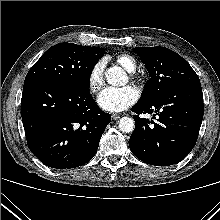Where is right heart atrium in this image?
<instances>
[{"label": "right heart atrium", "instance_id": "d8ad5b80", "mask_svg": "<svg viewBox=\"0 0 220 220\" xmlns=\"http://www.w3.org/2000/svg\"><path fill=\"white\" fill-rule=\"evenodd\" d=\"M106 62L100 59L93 64L88 74L89 89L93 93H97L104 84V71Z\"/></svg>", "mask_w": 220, "mask_h": 220}]
</instances>
